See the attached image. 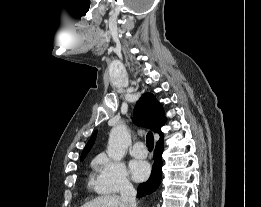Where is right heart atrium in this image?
I'll list each match as a JSON object with an SVG mask.
<instances>
[{
	"instance_id": "1",
	"label": "right heart atrium",
	"mask_w": 261,
	"mask_h": 207,
	"mask_svg": "<svg viewBox=\"0 0 261 207\" xmlns=\"http://www.w3.org/2000/svg\"><path fill=\"white\" fill-rule=\"evenodd\" d=\"M98 173L92 184L100 194H113L130 189L132 183L125 165L105 154L96 158Z\"/></svg>"
}]
</instances>
